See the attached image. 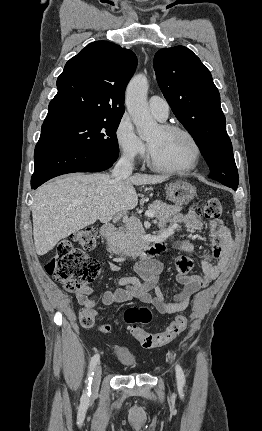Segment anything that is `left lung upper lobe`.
Instances as JSON below:
<instances>
[{"instance_id": "1", "label": "left lung upper lobe", "mask_w": 262, "mask_h": 431, "mask_svg": "<svg viewBox=\"0 0 262 431\" xmlns=\"http://www.w3.org/2000/svg\"><path fill=\"white\" fill-rule=\"evenodd\" d=\"M157 81L173 113L194 138L211 178L237 188L239 177L220 94L210 71L188 48L159 50L154 56Z\"/></svg>"}]
</instances>
